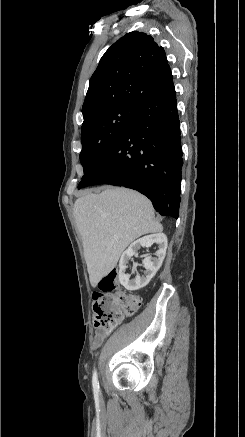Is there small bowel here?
I'll return each instance as SVG.
<instances>
[{
  "mask_svg": "<svg viewBox=\"0 0 245 437\" xmlns=\"http://www.w3.org/2000/svg\"><path fill=\"white\" fill-rule=\"evenodd\" d=\"M105 337H106V335L99 336L96 334V337L94 340L95 345L96 346L100 345Z\"/></svg>",
  "mask_w": 245,
  "mask_h": 437,
  "instance_id": "1",
  "label": "small bowel"
}]
</instances>
